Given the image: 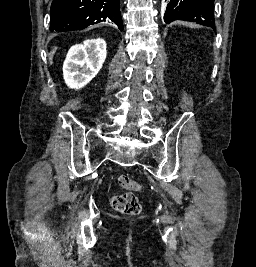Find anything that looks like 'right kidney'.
Instances as JSON below:
<instances>
[{"mask_svg":"<svg viewBox=\"0 0 256 267\" xmlns=\"http://www.w3.org/2000/svg\"><path fill=\"white\" fill-rule=\"evenodd\" d=\"M106 60V42L102 38L85 40L70 48L63 64L65 84L74 90L89 84Z\"/></svg>","mask_w":256,"mask_h":267,"instance_id":"1","label":"right kidney"}]
</instances>
